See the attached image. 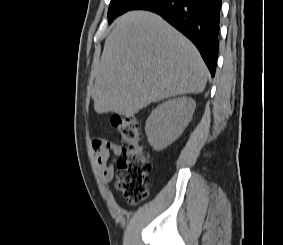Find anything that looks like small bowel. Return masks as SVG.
Listing matches in <instances>:
<instances>
[{
	"label": "small bowel",
	"mask_w": 283,
	"mask_h": 245,
	"mask_svg": "<svg viewBox=\"0 0 283 245\" xmlns=\"http://www.w3.org/2000/svg\"><path fill=\"white\" fill-rule=\"evenodd\" d=\"M92 147L103 179L106 182L111 181L115 173L111 155L119 156L122 152L121 146L107 139L95 138L92 141Z\"/></svg>",
	"instance_id": "small-bowel-1"
}]
</instances>
